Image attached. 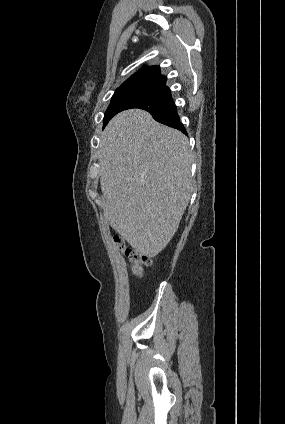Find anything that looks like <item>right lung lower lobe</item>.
<instances>
[{
	"label": "right lung lower lobe",
	"instance_id": "1",
	"mask_svg": "<svg viewBox=\"0 0 285 424\" xmlns=\"http://www.w3.org/2000/svg\"><path fill=\"white\" fill-rule=\"evenodd\" d=\"M132 108L146 110L156 121L187 134L183 124L180 122L176 105L171 97V91L167 86H163L153 94L134 100L125 110Z\"/></svg>",
	"mask_w": 285,
	"mask_h": 424
}]
</instances>
